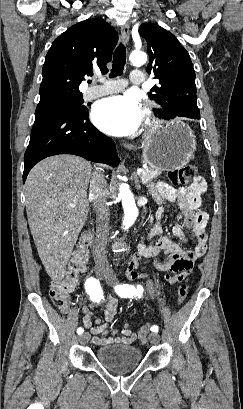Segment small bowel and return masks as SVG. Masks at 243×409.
Wrapping results in <instances>:
<instances>
[{"label":"small bowel","mask_w":243,"mask_h":409,"mask_svg":"<svg viewBox=\"0 0 243 409\" xmlns=\"http://www.w3.org/2000/svg\"><path fill=\"white\" fill-rule=\"evenodd\" d=\"M206 189V181L201 177L196 178L193 183L187 187L174 188L165 182H158L151 187L152 195L159 204H162L164 201L177 204L178 210L184 220V225L190 230V237L197 241L193 249L184 250L167 237L159 236L161 227L158 223L150 235V238L157 237L155 242L151 245L140 244L139 256L152 258L156 269L164 272L163 278L169 285L182 281L186 282L195 262L206 252V227L208 217L207 214L200 209L202 205V195L206 192ZM163 213L164 208L160 207L157 212L158 220L161 219ZM172 233L182 242H188V237L180 225H174L172 227ZM136 268L137 261L134 262L132 269L129 271V277L132 279L145 277V275L139 274ZM82 311L84 315V327L93 335L92 343L97 346L118 343L131 345L139 338L137 334L129 328L128 324H124L121 330L111 327L117 312L116 300L112 297H107L103 304V322L100 319H96L95 325H93L92 309L85 306ZM106 334H111L112 336L108 338L102 337V335ZM140 342L144 343L146 339Z\"/></svg>","instance_id":"c3829d8e"}]
</instances>
